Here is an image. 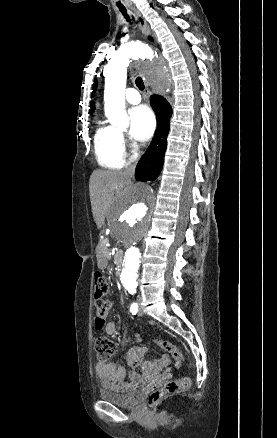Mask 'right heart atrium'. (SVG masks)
<instances>
[{
	"label": "right heart atrium",
	"instance_id": "right-heart-atrium-1",
	"mask_svg": "<svg viewBox=\"0 0 277 438\" xmlns=\"http://www.w3.org/2000/svg\"><path fill=\"white\" fill-rule=\"evenodd\" d=\"M120 145H121V149L125 155L127 148L130 146V142H129L128 138L123 134L120 135Z\"/></svg>",
	"mask_w": 277,
	"mask_h": 438
}]
</instances>
